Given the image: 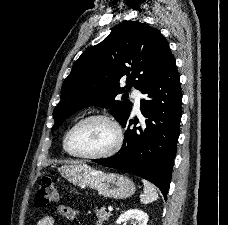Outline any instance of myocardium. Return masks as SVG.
Here are the masks:
<instances>
[{
	"label": "myocardium",
	"instance_id": "myocardium-1",
	"mask_svg": "<svg viewBox=\"0 0 228 225\" xmlns=\"http://www.w3.org/2000/svg\"><path fill=\"white\" fill-rule=\"evenodd\" d=\"M89 120H101L105 123H107L111 128L113 129L114 136H115V141L112 147L99 154H76L72 153L69 148H68V139L70 134L82 123L89 121ZM123 145V135H122V130L119 124L112 119L111 117L104 115V114H88L80 119H78L75 123H73L69 129L66 131L63 137V149L66 152L67 155L74 157V158H81V159H90V160H99V159H104L111 157L115 155L122 147Z\"/></svg>",
	"mask_w": 228,
	"mask_h": 225
}]
</instances>
